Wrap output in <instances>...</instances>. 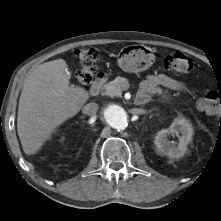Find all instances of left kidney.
Masks as SVG:
<instances>
[{
	"label": "left kidney",
	"mask_w": 221,
	"mask_h": 221,
	"mask_svg": "<svg viewBox=\"0 0 221 221\" xmlns=\"http://www.w3.org/2000/svg\"><path fill=\"white\" fill-rule=\"evenodd\" d=\"M170 133H181L178 143H172L168 140L167 137ZM192 136V125L183 116H178L174 119L169 129H162L157 132L154 143L161 154L170 158H179L185 154L187 145L192 140Z\"/></svg>",
	"instance_id": "obj_1"
}]
</instances>
